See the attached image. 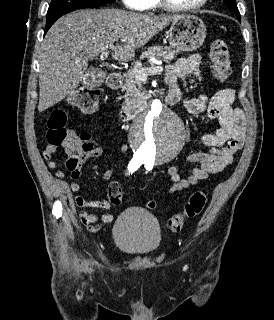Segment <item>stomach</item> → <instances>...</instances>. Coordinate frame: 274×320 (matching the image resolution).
Returning <instances> with one entry per match:
<instances>
[{"instance_id":"obj_1","label":"stomach","mask_w":274,"mask_h":320,"mask_svg":"<svg viewBox=\"0 0 274 320\" xmlns=\"http://www.w3.org/2000/svg\"><path fill=\"white\" fill-rule=\"evenodd\" d=\"M170 42L180 52H195L202 46L206 36V26L198 16H178L168 30Z\"/></svg>"}]
</instances>
